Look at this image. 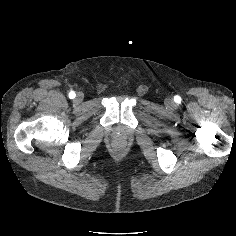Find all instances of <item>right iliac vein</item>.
<instances>
[{
    "label": "right iliac vein",
    "instance_id": "63e3f726",
    "mask_svg": "<svg viewBox=\"0 0 236 236\" xmlns=\"http://www.w3.org/2000/svg\"><path fill=\"white\" fill-rule=\"evenodd\" d=\"M83 98H84V97H83V94H82V93H78L77 96H76L75 101H76L77 103H80V102H82Z\"/></svg>",
    "mask_w": 236,
    "mask_h": 236
}]
</instances>
